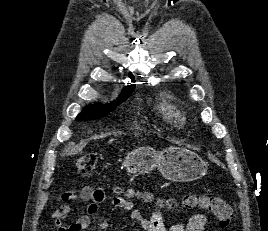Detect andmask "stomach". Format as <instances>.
Returning <instances> with one entry per match:
<instances>
[{
    "label": "stomach",
    "instance_id": "0dacf381",
    "mask_svg": "<svg viewBox=\"0 0 268 231\" xmlns=\"http://www.w3.org/2000/svg\"><path fill=\"white\" fill-rule=\"evenodd\" d=\"M122 164L134 175L147 174L155 167L172 182H190L207 173L208 163L195 152L170 146L161 152L151 147H139L127 153Z\"/></svg>",
    "mask_w": 268,
    "mask_h": 231
}]
</instances>
